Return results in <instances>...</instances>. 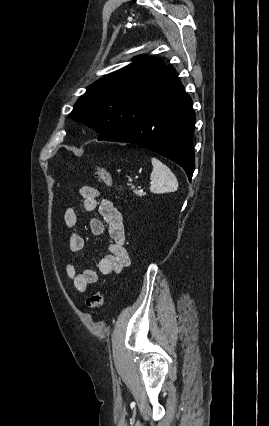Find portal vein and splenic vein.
Listing matches in <instances>:
<instances>
[{
	"mask_svg": "<svg viewBox=\"0 0 269 426\" xmlns=\"http://www.w3.org/2000/svg\"><path fill=\"white\" fill-rule=\"evenodd\" d=\"M139 192H140V193H143V189H140V190H139Z\"/></svg>",
	"mask_w": 269,
	"mask_h": 426,
	"instance_id": "portal-vein-and-splenic-vein-1",
	"label": "portal vein and splenic vein"
}]
</instances>
